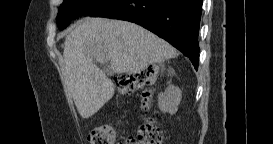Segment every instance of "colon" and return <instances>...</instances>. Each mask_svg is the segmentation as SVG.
<instances>
[{"label":"colon","mask_w":273,"mask_h":144,"mask_svg":"<svg viewBox=\"0 0 273 144\" xmlns=\"http://www.w3.org/2000/svg\"><path fill=\"white\" fill-rule=\"evenodd\" d=\"M158 76L155 67L144 68L132 75H123L116 78L117 91L122 95H129L137 88H144L152 84ZM151 99L150 90H145L142 94L141 107L144 110L149 108ZM139 143L161 144L163 133L154 120H148L142 124L138 131ZM117 135L115 129L110 125H100L92 129L90 133L91 144H115Z\"/></svg>","instance_id":"obj_1"}]
</instances>
